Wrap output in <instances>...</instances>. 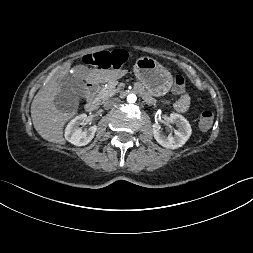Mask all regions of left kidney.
<instances>
[{
	"instance_id": "obj_1",
	"label": "left kidney",
	"mask_w": 253,
	"mask_h": 253,
	"mask_svg": "<svg viewBox=\"0 0 253 253\" xmlns=\"http://www.w3.org/2000/svg\"><path fill=\"white\" fill-rule=\"evenodd\" d=\"M168 121L176 124L177 130H174V135L170 133L168 136L161 134V126L158 122L152 125L153 135L155 140L163 147L168 149H176L182 147L189 139L192 133L191 125L182 115L177 113L170 114Z\"/></svg>"
}]
</instances>
